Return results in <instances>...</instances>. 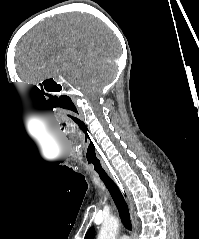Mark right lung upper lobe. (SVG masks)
<instances>
[{"label":"right lung upper lobe","mask_w":199,"mask_h":239,"mask_svg":"<svg viewBox=\"0 0 199 239\" xmlns=\"http://www.w3.org/2000/svg\"><path fill=\"white\" fill-rule=\"evenodd\" d=\"M85 239H94V228H90L85 235Z\"/></svg>","instance_id":"cb5924a9"}]
</instances>
